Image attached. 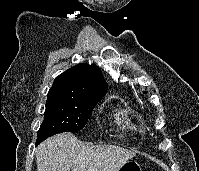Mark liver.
Masks as SVG:
<instances>
[{
  "mask_svg": "<svg viewBox=\"0 0 199 171\" xmlns=\"http://www.w3.org/2000/svg\"><path fill=\"white\" fill-rule=\"evenodd\" d=\"M135 153L112 145L83 144L71 133L41 143L36 152L37 171H117Z\"/></svg>",
  "mask_w": 199,
  "mask_h": 171,
  "instance_id": "6515ba94",
  "label": "liver"
}]
</instances>
